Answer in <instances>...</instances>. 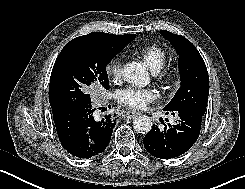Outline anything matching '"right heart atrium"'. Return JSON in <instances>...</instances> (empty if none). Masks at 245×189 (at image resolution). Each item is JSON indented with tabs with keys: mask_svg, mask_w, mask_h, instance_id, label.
<instances>
[{
	"mask_svg": "<svg viewBox=\"0 0 245 189\" xmlns=\"http://www.w3.org/2000/svg\"><path fill=\"white\" fill-rule=\"evenodd\" d=\"M106 74L118 81L122 76V59L120 57H114L109 60L105 66Z\"/></svg>",
	"mask_w": 245,
	"mask_h": 189,
	"instance_id": "right-heart-atrium-1",
	"label": "right heart atrium"
}]
</instances>
